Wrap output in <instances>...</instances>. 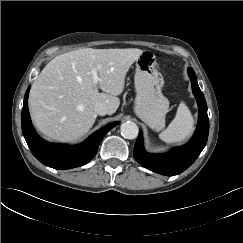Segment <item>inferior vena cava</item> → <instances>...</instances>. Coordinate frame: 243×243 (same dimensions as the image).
Returning a JSON list of instances; mask_svg holds the SVG:
<instances>
[{"mask_svg":"<svg viewBox=\"0 0 243 243\" xmlns=\"http://www.w3.org/2000/svg\"><path fill=\"white\" fill-rule=\"evenodd\" d=\"M94 111L98 115H106L108 113V107L106 104L99 102L94 106Z\"/></svg>","mask_w":243,"mask_h":243,"instance_id":"obj_1","label":"inferior vena cava"}]
</instances>
